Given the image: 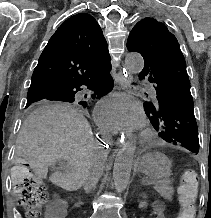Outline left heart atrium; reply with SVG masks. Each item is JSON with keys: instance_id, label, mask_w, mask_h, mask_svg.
Returning <instances> with one entry per match:
<instances>
[{"instance_id": "39dd6f15", "label": "left heart atrium", "mask_w": 211, "mask_h": 218, "mask_svg": "<svg viewBox=\"0 0 211 218\" xmlns=\"http://www.w3.org/2000/svg\"><path fill=\"white\" fill-rule=\"evenodd\" d=\"M95 119L106 133L133 130L142 124L140 110L121 97L101 101L95 110Z\"/></svg>"}]
</instances>
